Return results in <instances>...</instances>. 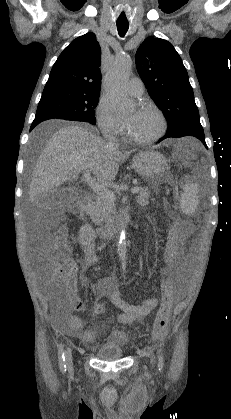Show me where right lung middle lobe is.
I'll list each match as a JSON object with an SVG mask.
<instances>
[{
  "instance_id": "right-lung-middle-lobe-1",
  "label": "right lung middle lobe",
  "mask_w": 231,
  "mask_h": 419,
  "mask_svg": "<svg viewBox=\"0 0 231 419\" xmlns=\"http://www.w3.org/2000/svg\"><path fill=\"white\" fill-rule=\"evenodd\" d=\"M99 93H88L65 87H45L33 122L65 119L96 124L94 108Z\"/></svg>"
}]
</instances>
